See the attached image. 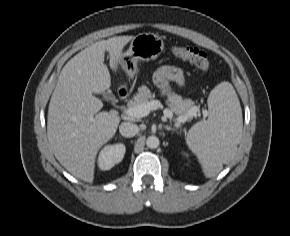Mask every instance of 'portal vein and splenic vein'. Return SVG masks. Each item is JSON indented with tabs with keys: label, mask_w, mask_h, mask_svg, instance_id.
<instances>
[{
	"label": "portal vein and splenic vein",
	"mask_w": 290,
	"mask_h": 236,
	"mask_svg": "<svg viewBox=\"0 0 290 236\" xmlns=\"http://www.w3.org/2000/svg\"><path fill=\"white\" fill-rule=\"evenodd\" d=\"M161 106L162 105H161L160 101L152 100L150 102L143 103V104L128 108L124 112L131 117L142 118V117L147 116L150 113V111L157 110ZM197 111H198L197 107L193 108L189 111V114L196 115ZM163 114H164V118H172L173 117V113L168 108H165L163 110ZM203 115L207 116L206 110L203 111ZM187 120H188L187 116H179L176 118V121H177L176 125H179L180 123H185Z\"/></svg>",
	"instance_id": "obj_1"
}]
</instances>
